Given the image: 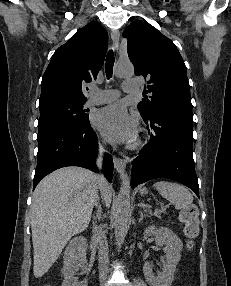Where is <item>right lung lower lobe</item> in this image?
<instances>
[{
  "label": "right lung lower lobe",
  "instance_id": "obj_1",
  "mask_svg": "<svg viewBox=\"0 0 231 286\" xmlns=\"http://www.w3.org/2000/svg\"><path fill=\"white\" fill-rule=\"evenodd\" d=\"M38 144L34 188L42 178L61 167L80 166L97 171V135L89 121L66 122L39 131ZM102 171L111 182L113 160L107 153Z\"/></svg>",
  "mask_w": 231,
  "mask_h": 286
}]
</instances>
